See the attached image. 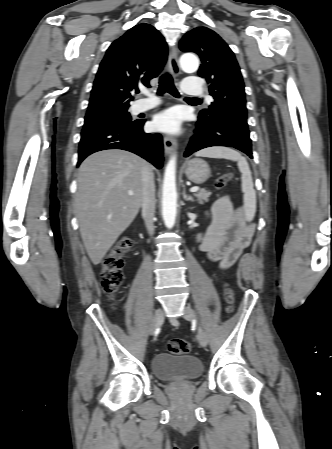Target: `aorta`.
<instances>
[{
	"instance_id": "aorta-1",
	"label": "aorta",
	"mask_w": 332,
	"mask_h": 449,
	"mask_svg": "<svg viewBox=\"0 0 332 449\" xmlns=\"http://www.w3.org/2000/svg\"><path fill=\"white\" fill-rule=\"evenodd\" d=\"M180 66L185 72L194 73L199 67V60L193 54H184L180 58ZM176 214V156H172L165 168L162 189V217L167 228L174 226Z\"/></svg>"
}]
</instances>
